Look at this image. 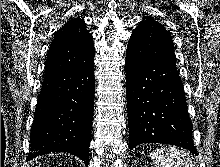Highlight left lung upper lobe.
I'll return each mask as SVG.
<instances>
[{"mask_svg": "<svg viewBox=\"0 0 220 167\" xmlns=\"http://www.w3.org/2000/svg\"><path fill=\"white\" fill-rule=\"evenodd\" d=\"M127 50L140 57H158L176 62L170 33L152 18L140 22L130 37Z\"/></svg>", "mask_w": 220, "mask_h": 167, "instance_id": "left-lung-upper-lobe-1", "label": "left lung upper lobe"}]
</instances>
